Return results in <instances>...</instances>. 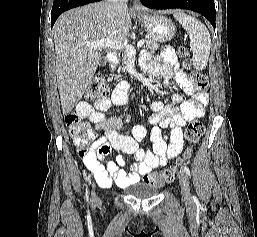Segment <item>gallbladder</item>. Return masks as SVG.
Listing matches in <instances>:
<instances>
[{"label": "gallbladder", "mask_w": 257, "mask_h": 237, "mask_svg": "<svg viewBox=\"0 0 257 237\" xmlns=\"http://www.w3.org/2000/svg\"><path fill=\"white\" fill-rule=\"evenodd\" d=\"M100 63H101V64H104V63H105V60H104V59H102Z\"/></svg>", "instance_id": "gallbladder-1"}]
</instances>
